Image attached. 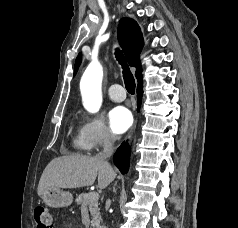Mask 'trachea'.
I'll return each mask as SVG.
<instances>
[{
    "label": "trachea",
    "mask_w": 238,
    "mask_h": 228,
    "mask_svg": "<svg viewBox=\"0 0 238 228\" xmlns=\"http://www.w3.org/2000/svg\"><path fill=\"white\" fill-rule=\"evenodd\" d=\"M115 54H116V59L119 61V63L121 64L123 68V78H124L126 90L129 93L134 94L135 80L132 73L130 72L129 66L120 50H117Z\"/></svg>",
    "instance_id": "1"
}]
</instances>
